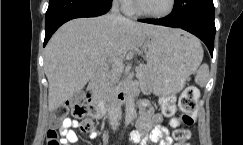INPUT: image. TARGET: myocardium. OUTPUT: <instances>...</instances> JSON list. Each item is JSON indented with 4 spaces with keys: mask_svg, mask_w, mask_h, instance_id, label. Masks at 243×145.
<instances>
[{
    "mask_svg": "<svg viewBox=\"0 0 243 145\" xmlns=\"http://www.w3.org/2000/svg\"><path fill=\"white\" fill-rule=\"evenodd\" d=\"M134 7H135V10L141 15L151 17V18L161 19V18L168 17L169 15L172 14V12L174 11V9L176 7V0H170V5H169L168 9L162 13H153V12L145 10L141 6L140 0H134Z\"/></svg>",
    "mask_w": 243,
    "mask_h": 145,
    "instance_id": "1",
    "label": "myocardium"
}]
</instances>
